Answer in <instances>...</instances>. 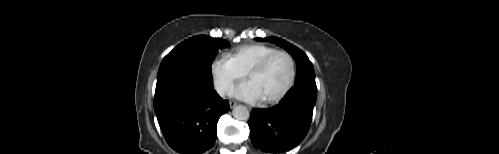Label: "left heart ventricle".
Returning a JSON list of instances; mask_svg holds the SVG:
<instances>
[{
  "instance_id": "obj_1",
  "label": "left heart ventricle",
  "mask_w": 499,
  "mask_h": 154,
  "mask_svg": "<svg viewBox=\"0 0 499 154\" xmlns=\"http://www.w3.org/2000/svg\"><path fill=\"white\" fill-rule=\"evenodd\" d=\"M290 75V64L283 55H278L261 72L249 76L259 90L263 100L276 96L285 87Z\"/></svg>"
}]
</instances>
